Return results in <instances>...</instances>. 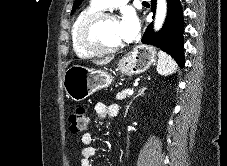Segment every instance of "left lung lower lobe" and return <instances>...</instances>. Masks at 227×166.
Here are the masks:
<instances>
[{"label":"left lung lower lobe","mask_w":227,"mask_h":166,"mask_svg":"<svg viewBox=\"0 0 227 166\" xmlns=\"http://www.w3.org/2000/svg\"><path fill=\"white\" fill-rule=\"evenodd\" d=\"M152 11H155L156 0H152ZM167 17L163 28L153 32V26L150 24L146 29L142 42L161 48V50L170 54L182 68L184 66L183 54V12L179 0H167Z\"/></svg>","instance_id":"left-lung-lower-lobe-1"}]
</instances>
